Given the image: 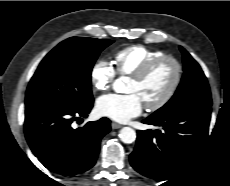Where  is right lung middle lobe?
<instances>
[{"mask_svg": "<svg viewBox=\"0 0 230 186\" xmlns=\"http://www.w3.org/2000/svg\"><path fill=\"white\" fill-rule=\"evenodd\" d=\"M112 40L71 37L39 64L27 88L25 105L47 102L80 107L93 101L91 71L99 53Z\"/></svg>", "mask_w": 230, "mask_h": 186, "instance_id": "obj_1", "label": "right lung middle lobe"}]
</instances>
